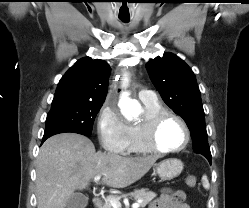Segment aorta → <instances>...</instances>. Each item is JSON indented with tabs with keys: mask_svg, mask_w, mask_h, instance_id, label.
<instances>
[{
	"mask_svg": "<svg viewBox=\"0 0 249 208\" xmlns=\"http://www.w3.org/2000/svg\"><path fill=\"white\" fill-rule=\"evenodd\" d=\"M119 106L121 108V113L128 120H131L133 117H137L141 111V106L138 101L130 99L128 97V93H123Z\"/></svg>",
	"mask_w": 249,
	"mask_h": 208,
	"instance_id": "obj_1",
	"label": "aorta"
}]
</instances>
